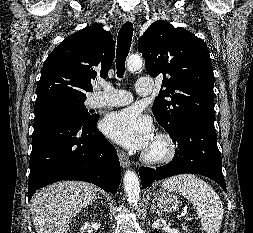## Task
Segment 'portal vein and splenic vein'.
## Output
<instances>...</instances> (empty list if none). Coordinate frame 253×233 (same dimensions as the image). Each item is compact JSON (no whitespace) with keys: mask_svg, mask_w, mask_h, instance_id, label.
I'll return each mask as SVG.
<instances>
[{"mask_svg":"<svg viewBox=\"0 0 253 233\" xmlns=\"http://www.w3.org/2000/svg\"><path fill=\"white\" fill-rule=\"evenodd\" d=\"M186 212H187V209L184 208L182 213H181V216H185ZM200 215H201V213L199 212L198 216H200Z\"/></svg>","mask_w":253,"mask_h":233,"instance_id":"obj_1","label":"portal vein and splenic vein"}]
</instances>
